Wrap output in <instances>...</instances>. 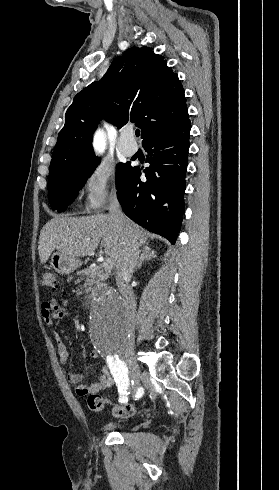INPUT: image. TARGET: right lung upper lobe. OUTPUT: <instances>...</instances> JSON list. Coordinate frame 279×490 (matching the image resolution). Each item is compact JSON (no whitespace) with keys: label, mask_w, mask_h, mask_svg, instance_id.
<instances>
[{"label":"right lung upper lobe","mask_w":279,"mask_h":490,"mask_svg":"<svg viewBox=\"0 0 279 490\" xmlns=\"http://www.w3.org/2000/svg\"><path fill=\"white\" fill-rule=\"evenodd\" d=\"M188 117L177 74L150 48L132 47L113 60L100 82L74 97L58 135L49 178L97 158L91 142L102 118L117 128L137 122L144 142L179 128L190 121Z\"/></svg>","instance_id":"cb5924a9"}]
</instances>
